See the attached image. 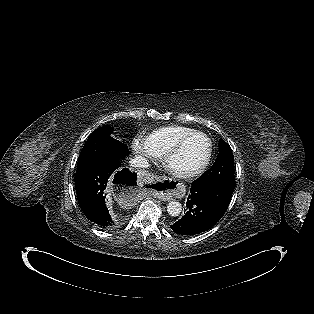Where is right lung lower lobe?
<instances>
[{
    "mask_svg": "<svg viewBox=\"0 0 314 314\" xmlns=\"http://www.w3.org/2000/svg\"><path fill=\"white\" fill-rule=\"evenodd\" d=\"M136 175L124 168L122 158L113 157L97 163L75 175L76 194L79 206L87 219L101 228H115L118 217L111 215L105 205L106 186L119 180L122 185L129 188L135 186Z\"/></svg>",
    "mask_w": 314,
    "mask_h": 314,
    "instance_id": "1",
    "label": "right lung lower lobe"
}]
</instances>
